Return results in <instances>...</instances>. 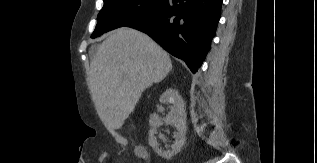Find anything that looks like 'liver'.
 Segmentation results:
<instances>
[{
    "label": "liver",
    "mask_w": 317,
    "mask_h": 163,
    "mask_svg": "<svg viewBox=\"0 0 317 163\" xmlns=\"http://www.w3.org/2000/svg\"><path fill=\"white\" fill-rule=\"evenodd\" d=\"M171 70L169 55L148 35L127 27L111 32L90 63L88 82L105 127L120 129L142 92Z\"/></svg>",
    "instance_id": "liver-1"
}]
</instances>
